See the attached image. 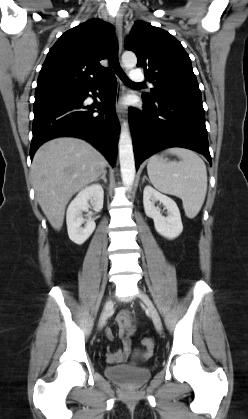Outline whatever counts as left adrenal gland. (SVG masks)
<instances>
[{"label":"left adrenal gland","mask_w":248,"mask_h":419,"mask_svg":"<svg viewBox=\"0 0 248 419\" xmlns=\"http://www.w3.org/2000/svg\"><path fill=\"white\" fill-rule=\"evenodd\" d=\"M145 179H146V180H148V179H147V177H146V176H144V177H143V179H142V182H144V181H145Z\"/></svg>","instance_id":"obj_1"}]
</instances>
